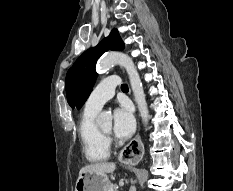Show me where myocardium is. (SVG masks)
Instances as JSON below:
<instances>
[{"label":"myocardium","instance_id":"1","mask_svg":"<svg viewBox=\"0 0 233 191\" xmlns=\"http://www.w3.org/2000/svg\"><path fill=\"white\" fill-rule=\"evenodd\" d=\"M99 130H100V132H101V134H102L103 136L107 137V136L109 135V132H105V131H103V130H101V129H99Z\"/></svg>","mask_w":233,"mask_h":191}]
</instances>
